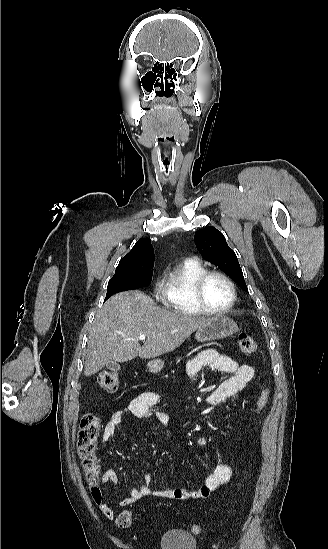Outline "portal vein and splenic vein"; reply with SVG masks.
Masks as SVG:
<instances>
[{"instance_id": "1", "label": "portal vein and splenic vein", "mask_w": 328, "mask_h": 549, "mask_svg": "<svg viewBox=\"0 0 328 549\" xmlns=\"http://www.w3.org/2000/svg\"><path fill=\"white\" fill-rule=\"evenodd\" d=\"M137 339H139V341H144V339H146V335H139ZM129 341H134V339H129Z\"/></svg>"}]
</instances>
